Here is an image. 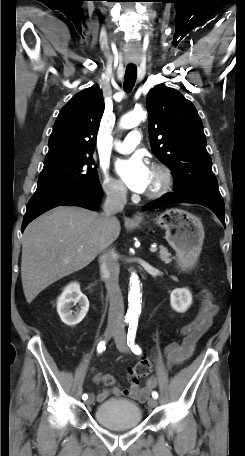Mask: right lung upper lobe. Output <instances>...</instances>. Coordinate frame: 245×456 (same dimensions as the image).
I'll list each match as a JSON object with an SVG mask.
<instances>
[{"label": "right lung upper lobe", "instance_id": "1", "mask_svg": "<svg viewBox=\"0 0 245 456\" xmlns=\"http://www.w3.org/2000/svg\"><path fill=\"white\" fill-rule=\"evenodd\" d=\"M103 111L102 91L97 85L75 94L55 121L44 165L91 155Z\"/></svg>", "mask_w": 245, "mask_h": 456}]
</instances>
